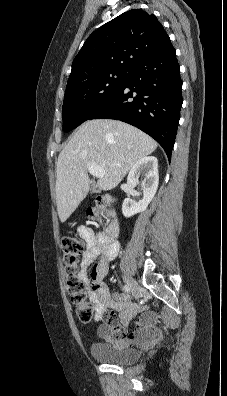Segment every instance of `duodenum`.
<instances>
[{
	"label": "duodenum",
	"mask_w": 227,
	"mask_h": 396,
	"mask_svg": "<svg viewBox=\"0 0 227 396\" xmlns=\"http://www.w3.org/2000/svg\"><path fill=\"white\" fill-rule=\"evenodd\" d=\"M105 201L108 204H110V202H111L110 196L106 195ZM108 215L110 217V222L106 228L105 233L102 236L105 237L109 241H115L118 236V233H119V224L116 219V214L113 210H110Z\"/></svg>",
	"instance_id": "1"
}]
</instances>
